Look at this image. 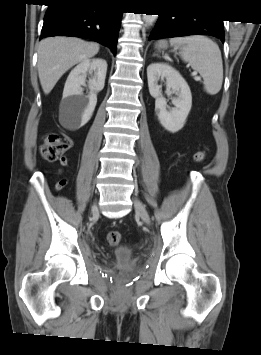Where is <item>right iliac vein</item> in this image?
I'll return each mask as SVG.
<instances>
[{
  "label": "right iliac vein",
  "mask_w": 261,
  "mask_h": 355,
  "mask_svg": "<svg viewBox=\"0 0 261 355\" xmlns=\"http://www.w3.org/2000/svg\"><path fill=\"white\" fill-rule=\"evenodd\" d=\"M91 214L94 216L98 215V207L96 203H94L91 207Z\"/></svg>",
  "instance_id": "right-iliac-vein-1"
}]
</instances>
